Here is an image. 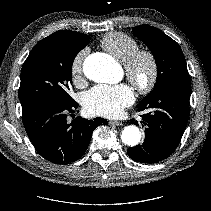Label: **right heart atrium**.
Returning <instances> with one entry per match:
<instances>
[{"label":"right heart atrium","mask_w":211,"mask_h":211,"mask_svg":"<svg viewBox=\"0 0 211 211\" xmlns=\"http://www.w3.org/2000/svg\"><path fill=\"white\" fill-rule=\"evenodd\" d=\"M87 54L88 49L83 48L74 55L71 61L70 72L75 85H80L83 82V63Z\"/></svg>","instance_id":"obj_1"}]
</instances>
